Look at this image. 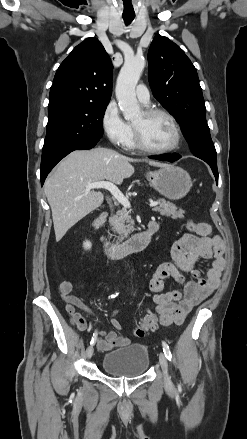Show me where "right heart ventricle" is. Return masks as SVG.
<instances>
[{"instance_id": "obj_1", "label": "right heart ventricle", "mask_w": 247, "mask_h": 439, "mask_svg": "<svg viewBox=\"0 0 247 439\" xmlns=\"http://www.w3.org/2000/svg\"><path fill=\"white\" fill-rule=\"evenodd\" d=\"M125 146L130 148V149L136 148V144H135V140H134V133H133L132 128H131L130 137H129L128 141L126 142Z\"/></svg>"}]
</instances>
